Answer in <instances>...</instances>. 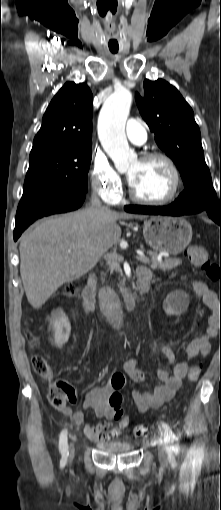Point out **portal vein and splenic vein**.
<instances>
[{"label": "portal vein and splenic vein", "mask_w": 221, "mask_h": 510, "mask_svg": "<svg viewBox=\"0 0 221 510\" xmlns=\"http://www.w3.org/2000/svg\"><path fill=\"white\" fill-rule=\"evenodd\" d=\"M68 252H71V250H69ZM104 258H105L108 262H110V261H113V262H114V261H117V260H120V261H121V260H123V257H122V256H120V255H118L117 253H110V254H106V255L104 256ZM136 259H137L138 261L142 262V263H145V264H147V263H149V262H150L149 258L145 257V255H144L143 253H138V255L136 256ZM157 260H158V258H157ZM158 261H160V260H158ZM160 262H161V261H160Z\"/></svg>", "instance_id": "1"}]
</instances>
